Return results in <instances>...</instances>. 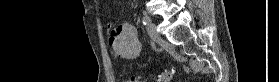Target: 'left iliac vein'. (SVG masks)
Listing matches in <instances>:
<instances>
[{
	"label": "left iliac vein",
	"instance_id": "4c4485c4",
	"mask_svg": "<svg viewBox=\"0 0 279 82\" xmlns=\"http://www.w3.org/2000/svg\"><path fill=\"white\" fill-rule=\"evenodd\" d=\"M147 32L150 36V38L153 40V41H158L160 39V34L157 30V27L154 23H150L148 24L147 26Z\"/></svg>",
	"mask_w": 279,
	"mask_h": 82
}]
</instances>
